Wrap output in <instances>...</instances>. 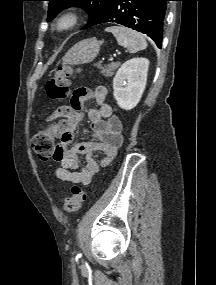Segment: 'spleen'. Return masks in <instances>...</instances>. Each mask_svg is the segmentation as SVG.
Masks as SVG:
<instances>
[{
    "label": "spleen",
    "instance_id": "spleen-1",
    "mask_svg": "<svg viewBox=\"0 0 216 285\" xmlns=\"http://www.w3.org/2000/svg\"><path fill=\"white\" fill-rule=\"evenodd\" d=\"M116 38L120 46L125 47L130 53H136L147 48L145 38L138 32L121 26H112L105 29Z\"/></svg>",
    "mask_w": 216,
    "mask_h": 285
}]
</instances>
